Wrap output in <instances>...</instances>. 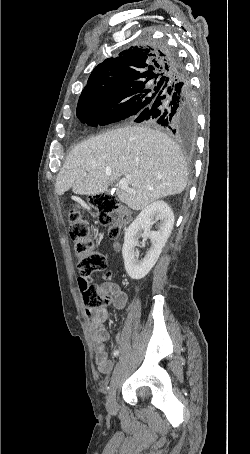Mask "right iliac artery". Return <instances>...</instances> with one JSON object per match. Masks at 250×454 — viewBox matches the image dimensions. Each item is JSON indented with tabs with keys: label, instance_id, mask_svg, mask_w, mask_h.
<instances>
[{
	"label": "right iliac artery",
	"instance_id": "obj_1",
	"mask_svg": "<svg viewBox=\"0 0 250 454\" xmlns=\"http://www.w3.org/2000/svg\"><path fill=\"white\" fill-rule=\"evenodd\" d=\"M113 354H114V356L117 357V356L119 355V351H118V350H115V351L113 352Z\"/></svg>",
	"mask_w": 250,
	"mask_h": 454
}]
</instances>
